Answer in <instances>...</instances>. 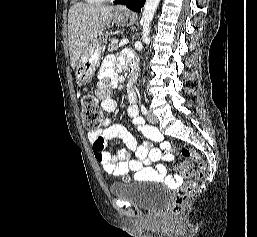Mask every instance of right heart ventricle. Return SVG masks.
I'll return each instance as SVG.
<instances>
[{
  "label": "right heart ventricle",
  "instance_id": "obj_1",
  "mask_svg": "<svg viewBox=\"0 0 257 237\" xmlns=\"http://www.w3.org/2000/svg\"><path fill=\"white\" fill-rule=\"evenodd\" d=\"M84 1L90 5H98L103 3L104 0H84Z\"/></svg>",
  "mask_w": 257,
  "mask_h": 237
}]
</instances>
